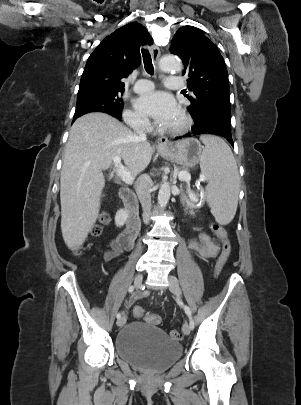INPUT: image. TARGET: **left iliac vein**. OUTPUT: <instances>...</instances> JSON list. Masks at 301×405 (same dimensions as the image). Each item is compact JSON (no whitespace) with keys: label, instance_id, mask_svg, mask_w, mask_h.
<instances>
[{"label":"left iliac vein","instance_id":"left-iliac-vein-1","mask_svg":"<svg viewBox=\"0 0 301 405\" xmlns=\"http://www.w3.org/2000/svg\"><path fill=\"white\" fill-rule=\"evenodd\" d=\"M168 281H169V289H170V291L175 296H177L179 299H181L182 292H181V289H180V286H179L178 279L173 275H169L168 276ZM182 331H183V333L185 335H189L190 331H191V328H190V326L188 324H184L183 327H182Z\"/></svg>","mask_w":301,"mask_h":405}]
</instances>
